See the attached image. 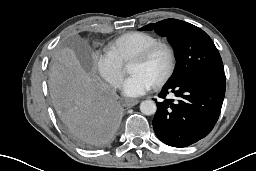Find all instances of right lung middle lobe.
<instances>
[{"label": "right lung middle lobe", "mask_w": 256, "mask_h": 171, "mask_svg": "<svg viewBox=\"0 0 256 171\" xmlns=\"http://www.w3.org/2000/svg\"><path fill=\"white\" fill-rule=\"evenodd\" d=\"M51 92L55 103L59 100L66 99L71 95V85L69 86L67 83L56 81L51 85Z\"/></svg>", "instance_id": "right-lung-middle-lobe-1"}]
</instances>
